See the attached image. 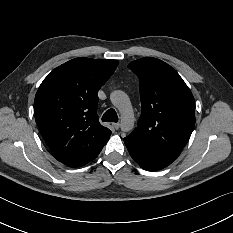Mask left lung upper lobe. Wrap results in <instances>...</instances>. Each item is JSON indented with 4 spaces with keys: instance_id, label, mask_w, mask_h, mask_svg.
I'll list each match as a JSON object with an SVG mask.
<instances>
[{
    "instance_id": "left-lung-upper-lobe-1",
    "label": "left lung upper lobe",
    "mask_w": 233,
    "mask_h": 233,
    "mask_svg": "<svg viewBox=\"0 0 233 233\" xmlns=\"http://www.w3.org/2000/svg\"><path fill=\"white\" fill-rule=\"evenodd\" d=\"M128 67L139 77L141 117L130 134L160 150L180 155L195 124V101L179 74L165 62L145 57Z\"/></svg>"
}]
</instances>
